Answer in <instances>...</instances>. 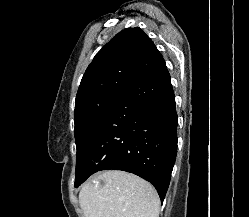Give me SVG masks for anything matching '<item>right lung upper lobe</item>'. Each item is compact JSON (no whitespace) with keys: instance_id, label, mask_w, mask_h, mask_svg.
I'll list each match as a JSON object with an SVG mask.
<instances>
[{"instance_id":"right-lung-upper-lobe-1","label":"right lung upper lobe","mask_w":249,"mask_h":217,"mask_svg":"<svg viewBox=\"0 0 249 217\" xmlns=\"http://www.w3.org/2000/svg\"><path fill=\"white\" fill-rule=\"evenodd\" d=\"M163 59L140 29L119 32L94 57L82 77L75 106L106 92L133 88Z\"/></svg>"}]
</instances>
